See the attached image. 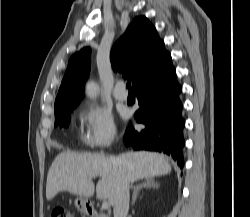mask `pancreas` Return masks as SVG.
Masks as SVG:
<instances>
[{"label":"pancreas","mask_w":250,"mask_h":217,"mask_svg":"<svg viewBox=\"0 0 250 217\" xmlns=\"http://www.w3.org/2000/svg\"><path fill=\"white\" fill-rule=\"evenodd\" d=\"M96 217H108V215H106V214L100 212Z\"/></svg>","instance_id":"1"}]
</instances>
